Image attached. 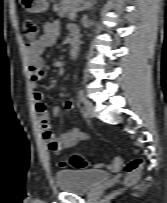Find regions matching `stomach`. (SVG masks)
Returning a JSON list of instances; mask_svg holds the SVG:
<instances>
[{"label": "stomach", "instance_id": "0dacf381", "mask_svg": "<svg viewBox=\"0 0 167 203\" xmlns=\"http://www.w3.org/2000/svg\"><path fill=\"white\" fill-rule=\"evenodd\" d=\"M49 0H20L22 7L31 13L44 12L49 7Z\"/></svg>", "mask_w": 167, "mask_h": 203}]
</instances>
